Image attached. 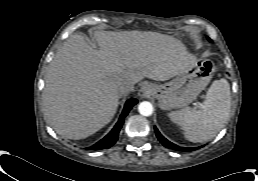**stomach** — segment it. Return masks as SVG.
Here are the masks:
<instances>
[{"instance_id": "stomach-1", "label": "stomach", "mask_w": 258, "mask_h": 181, "mask_svg": "<svg viewBox=\"0 0 258 181\" xmlns=\"http://www.w3.org/2000/svg\"><path fill=\"white\" fill-rule=\"evenodd\" d=\"M214 71L215 65L211 60L199 59L171 81L161 85L151 84L149 94L158 100L162 110L185 107L205 89Z\"/></svg>"}]
</instances>
